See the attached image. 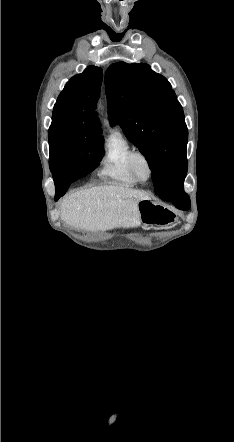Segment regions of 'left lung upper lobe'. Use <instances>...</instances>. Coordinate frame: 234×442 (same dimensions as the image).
Instances as JSON below:
<instances>
[{
  "label": "left lung upper lobe",
  "mask_w": 234,
  "mask_h": 442,
  "mask_svg": "<svg viewBox=\"0 0 234 442\" xmlns=\"http://www.w3.org/2000/svg\"><path fill=\"white\" fill-rule=\"evenodd\" d=\"M110 123L148 161L161 198L184 191L188 130L170 83L147 64L114 63L105 74Z\"/></svg>",
  "instance_id": "1"
}]
</instances>
